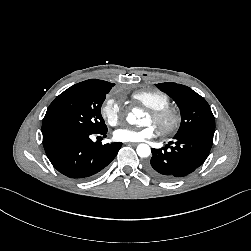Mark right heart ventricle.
Returning a JSON list of instances; mask_svg holds the SVG:
<instances>
[{
    "instance_id": "1",
    "label": "right heart ventricle",
    "mask_w": 251,
    "mask_h": 251,
    "mask_svg": "<svg viewBox=\"0 0 251 251\" xmlns=\"http://www.w3.org/2000/svg\"><path fill=\"white\" fill-rule=\"evenodd\" d=\"M132 98L150 110H159L170 105V98L158 90H142L132 94Z\"/></svg>"
}]
</instances>
